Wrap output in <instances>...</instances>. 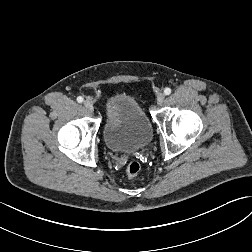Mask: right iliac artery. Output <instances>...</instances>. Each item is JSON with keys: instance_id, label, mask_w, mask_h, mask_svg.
<instances>
[{"instance_id": "82829eb1", "label": "right iliac artery", "mask_w": 252, "mask_h": 252, "mask_svg": "<svg viewBox=\"0 0 252 252\" xmlns=\"http://www.w3.org/2000/svg\"><path fill=\"white\" fill-rule=\"evenodd\" d=\"M83 100H84V99H83L81 96H79V97L77 98V101H78L79 103H82Z\"/></svg>"}]
</instances>
